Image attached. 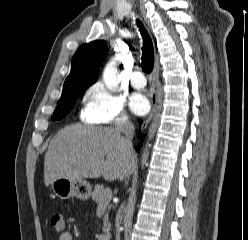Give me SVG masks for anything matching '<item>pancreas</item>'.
<instances>
[{"label":"pancreas","instance_id":"1","mask_svg":"<svg viewBox=\"0 0 248 240\" xmlns=\"http://www.w3.org/2000/svg\"><path fill=\"white\" fill-rule=\"evenodd\" d=\"M112 195H108L103 185H95L94 191L92 192V199L98 203L99 206L103 205L104 208H110L109 202ZM111 224L108 221V214L105 216L103 232L106 233L107 237L110 236Z\"/></svg>","mask_w":248,"mask_h":240}]
</instances>
